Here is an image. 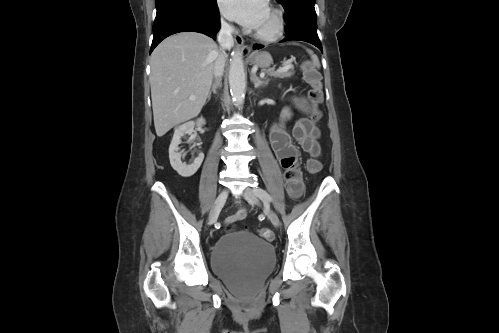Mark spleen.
<instances>
[{
    "label": "spleen",
    "mask_w": 499,
    "mask_h": 333,
    "mask_svg": "<svg viewBox=\"0 0 499 333\" xmlns=\"http://www.w3.org/2000/svg\"><path fill=\"white\" fill-rule=\"evenodd\" d=\"M308 53L311 55V58L314 62V65L317 67V68H320V63H319V59L318 57L309 49H307Z\"/></svg>",
    "instance_id": "spleen-1"
}]
</instances>
